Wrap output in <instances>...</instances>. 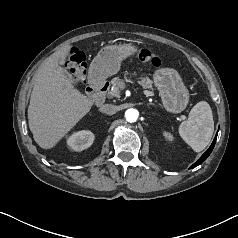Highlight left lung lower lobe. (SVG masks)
<instances>
[{"label": "left lung lower lobe", "instance_id": "0a47b994", "mask_svg": "<svg viewBox=\"0 0 238 238\" xmlns=\"http://www.w3.org/2000/svg\"><path fill=\"white\" fill-rule=\"evenodd\" d=\"M216 138H217V134H216V137H215L214 141L212 142L210 148L201 156V158L196 163H194L191 166L192 168H195L196 166L200 165L201 163H203L207 159V157L210 155V153L212 152V150L214 148Z\"/></svg>", "mask_w": 238, "mask_h": 238}]
</instances>
